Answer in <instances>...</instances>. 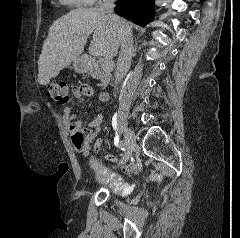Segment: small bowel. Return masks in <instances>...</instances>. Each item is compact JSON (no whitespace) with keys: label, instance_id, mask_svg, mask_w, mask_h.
Wrapping results in <instances>:
<instances>
[{"label":"small bowel","instance_id":"c3829d8e","mask_svg":"<svg viewBox=\"0 0 240 238\" xmlns=\"http://www.w3.org/2000/svg\"><path fill=\"white\" fill-rule=\"evenodd\" d=\"M94 94L93 88L88 85V84H79L72 89V95L79 99L80 101H83L85 98L92 97ZM110 96L107 93H100L98 96V100L101 102H107L109 101ZM63 111V119L67 127L73 132L72 127L75 126L78 130L83 129V123L82 120L77 118L72 112L71 109L63 105L62 107ZM103 122V115L102 114H97L92 121L89 123V129L85 130L89 133L87 141H95L93 143V153L94 154H99L101 150V139L97 138V134L100 131V126ZM78 150H82V148L76 147ZM106 162H115L117 161V165L120 166L121 169V174L126 173V175H135L137 172L136 167L138 168L139 166H133V164H126L122 163V158L118 157V154H106L105 155ZM145 187L149 186L148 182L144 183Z\"/></svg>","mask_w":240,"mask_h":238}]
</instances>
